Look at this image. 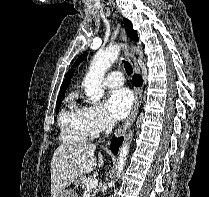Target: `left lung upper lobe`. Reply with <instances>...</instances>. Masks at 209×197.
Returning <instances> with one entry per match:
<instances>
[{
	"label": "left lung upper lobe",
	"instance_id": "5c2ea615",
	"mask_svg": "<svg viewBox=\"0 0 209 197\" xmlns=\"http://www.w3.org/2000/svg\"><path fill=\"white\" fill-rule=\"evenodd\" d=\"M123 23H124V26H125V30H126V33L127 35L134 41H137L138 40V35H137V32L133 30V27H132V24L129 20L127 19H124L123 20ZM87 54L84 53L82 54L75 62L74 66H77L82 60H84L85 56Z\"/></svg>",
	"mask_w": 209,
	"mask_h": 197
}]
</instances>
